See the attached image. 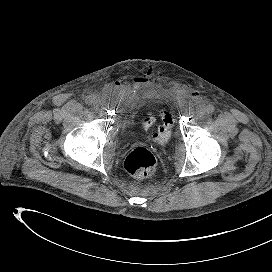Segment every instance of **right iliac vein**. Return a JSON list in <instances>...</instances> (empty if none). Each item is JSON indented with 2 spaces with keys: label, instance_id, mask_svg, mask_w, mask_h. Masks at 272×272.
<instances>
[{
  "label": "right iliac vein",
  "instance_id": "63e3f726",
  "mask_svg": "<svg viewBox=\"0 0 272 272\" xmlns=\"http://www.w3.org/2000/svg\"><path fill=\"white\" fill-rule=\"evenodd\" d=\"M92 103H93L94 108H98L99 107L100 102H99L98 99L93 98L92 99Z\"/></svg>",
  "mask_w": 272,
  "mask_h": 272
}]
</instances>
